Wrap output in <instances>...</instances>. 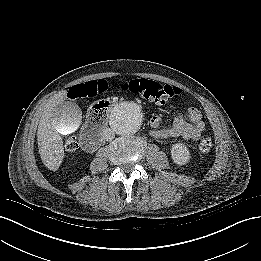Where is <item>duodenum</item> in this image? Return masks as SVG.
<instances>
[{
  "label": "duodenum",
  "instance_id": "obj_1",
  "mask_svg": "<svg viewBox=\"0 0 261 261\" xmlns=\"http://www.w3.org/2000/svg\"><path fill=\"white\" fill-rule=\"evenodd\" d=\"M81 142L85 150L92 152L100 146L102 136L91 129H86L81 136Z\"/></svg>",
  "mask_w": 261,
  "mask_h": 261
}]
</instances>
